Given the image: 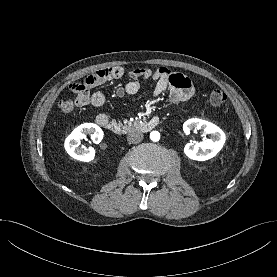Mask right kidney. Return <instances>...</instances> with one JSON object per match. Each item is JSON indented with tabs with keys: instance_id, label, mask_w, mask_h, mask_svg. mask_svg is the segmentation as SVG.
<instances>
[{
	"instance_id": "obj_1",
	"label": "right kidney",
	"mask_w": 277,
	"mask_h": 277,
	"mask_svg": "<svg viewBox=\"0 0 277 277\" xmlns=\"http://www.w3.org/2000/svg\"><path fill=\"white\" fill-rule=\"evenodd\" d=\"M86 134L93 137V142L98 144L103 139L102 129L93 123H84L75 128L72 133L65 140V150L74 159L89 162L95 157V150L93 148L80 149L79 143L81 139L86 138Z\"/></svg>"
}]
</instances>
